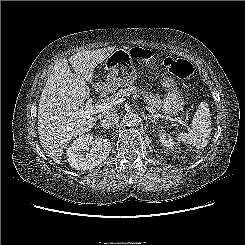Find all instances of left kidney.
<instances>
[{"instance_id": "5707ae66", "label": "left kidney", "mask_w": 245, "mask_h": 245, "mask_svg": "<svg viewBox=\"0 0 245 245\" xmlns=\"http://www.w3.org/2000/svg\"><path fill=\"white\" fill-rule=\"evenodd\" d=\"M160 142L167 148H172L174 146V141L170 134H167L165 132L160 133Z\"/></svg>"}]
</instances>
